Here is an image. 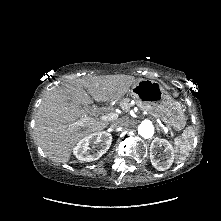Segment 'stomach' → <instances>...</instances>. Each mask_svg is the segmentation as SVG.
I'll return each mask as SVG.
<instances>
[{
  "mask_svg": "<svg viewBox=\"0 0 221 221\" xmlns=\"http://www.w3.org/2000/svg\"><path fill=\"white\" fill-rule=\"evenodd\" d=\"M130 95L141 110L159 117L173 130L181 131L185 127L187 117L184 107L160 83L141 79L132 86Z\"/></svg>",
  "mask_w": 221,
  "mask_h": 221,
  "instance_id": "1",
  "label": "stomach"
}]
</instances>
